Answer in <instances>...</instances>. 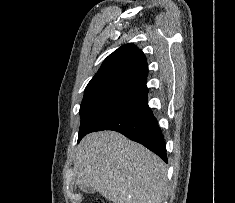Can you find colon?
Returning a JSON list of instances; mask_svg holds the SVG:
<instances>
[{"label":"colon","instance_id":"1","mask_svg":"<svg viewBox=\"0 0 235 203\" xmlns=\"http://www.w3.org/2000/svg\"><path fill=\"white\" fill-rule=\"evenodd\" d=\"M93 203H110V202H106V201H104L102 199H97Z\"/></svg>","mask_w":235,"mask_h":203}]
</instances>
